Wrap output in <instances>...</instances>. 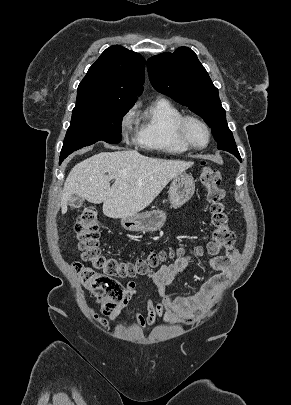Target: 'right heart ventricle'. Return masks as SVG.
<instances>
[{
	"mask_svg": "<svg viewBox=\"0 0 291 405\" xmlns=\"http://www.w3.org/2000/svg\"><path fill=\"white\" fill-rule=\"evenodd\" d=\"M182 112L164 98L154 100L138 118L137 142L143 148L168 154L189 150L175 135Z\"/></svg>",
	"mask_w": 291,
	"mask_h": 405,
	"instance_id": "e07e8e85",
	"label": "right heart ventricle"
}]
</instances>
